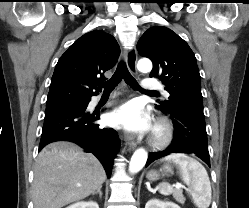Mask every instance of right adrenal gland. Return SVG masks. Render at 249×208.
Listing matches in <instances>:
<instances>
[{
  "instance_id": "1",
  "label": "right adrenal gland",
  "mask_w": 249,
  "mask_h": 208,
  "mask_svg": "<svg viewBox=\"0 0 249 208\" xmlns=\"http://www.w3.org/2000/svg\"><path fill=\"white\" fill-rule=\"evenodd\" d=\"M101 188H102V187L98 188V190L95 191L94 193H92V195H97V194H99V197L102 198V191H101Z\"/></svg>"
}]
</instances>
